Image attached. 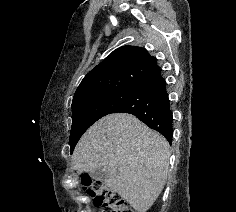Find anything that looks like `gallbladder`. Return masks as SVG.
Segmentation results:
<instances>
[{
  "mask_svg": "<svg viewBox=\"0 0 236 212\" xmlns=\"http://www.w3.org/2000/svg\"><path fill=\"white\" fill-rule=\"evenodd\" d=\"M108 176V172L103 168L96 169L90 172V177L98 181H104Z\"/></svg>",
  "mask_w": 236,
  "mask_h": 212,
  "instance_id": "1",
  "label": "gallbladder"
}]
</instances>
